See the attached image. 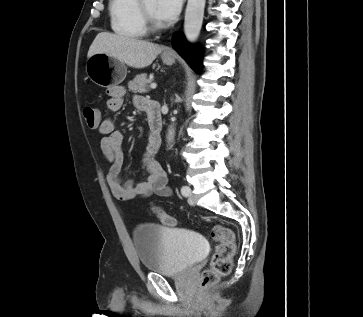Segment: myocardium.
Returning a JSON list of instances; mask_svg holds the SVG:
<instances>
[{"label":"myocardium","mask_w":363,"mask_h":317,"mask_svg":"<svg viewBox=\"0 0 363 317\" xmlns=\"http://www.w3.org/2000/svg\"><path fill=\"white\" fill-rule=\"evenodd\" d=\"M137 7L140 18L147 30L155 32L163 28V25L160 22L156 21L146 9L144 5V0H138Z\"/></svg>","instance_id":"f54148a6"}]
</instances>
